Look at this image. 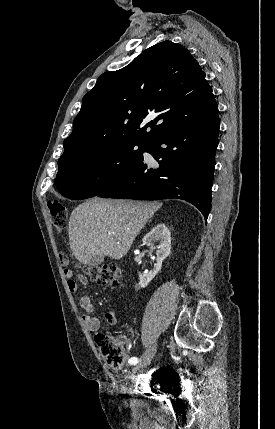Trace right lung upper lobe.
Wrapping results in <instances>:
<instances>
[{"label": "right lung upper lobe", "instance_id": "cb5924a9", "mask_svg": "<svg viewBox=\"0 0 275 429\" xmlns=\"http://www.w3.org/2000/svg\"><path fill=\"white\" fill-rule=\"evenodd\" d=\"M217 112L199 63L182 45L164 41L126 67L97 79L83 97L58 165L117 143H148L166 131ZM148 119L151 121L140 128Z\"/></svg>", "mask_w": 275, "mask_h": 429}]
</instances>
